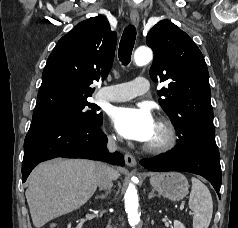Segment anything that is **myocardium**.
I'll use <instances>...</instances> for the list:
<instances>
[{"label": "myocardium", "instance_id": "f54148a6", "mask_svg": "<svg viewBox=\"0 0 238 228\" xmlns=\"http://www.w3.org/2000/svg\"><path fill=\"white\" fill-rule=\"evenodd\" d=\"M156 126L162 134L161 141L155 144L146 143L143 149L151 154L165 153L176 145L177 134L173 124L168 119H159Z\"/></svg>", "mask_w": 238, "mask_h": 228}]
</instances>
